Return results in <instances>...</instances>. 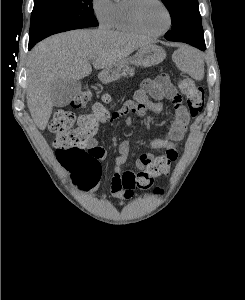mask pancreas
<instances>
[{"label": "pancreas", "instance_id": "obj_1", "mask_svg": "<svg viewBox=\"0 0 245 300\" xmlns=\"http://www.w3.org/2000/svg\"><path fill=\"white\" fill-rule=\"evenodd\" d=\"M127 75H129L130 77H132L134 75V69L132 68H128L124 71L123 76L127 77Z\"/></svg>", "mask_w": 245, "mask_h": 300}]
</instances>
